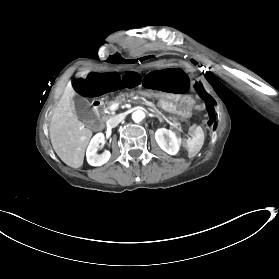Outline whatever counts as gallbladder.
I'll use <instances>...</instances> for the list:
<instances>
[{
  "label": "gallbladder",
  "instance_id": "gallbladder-1",
  "mask_svg": "<svg viewBox=\"0 0 279 279\" xmlns=\"http://www.w3.org/2000/svg\"><path fill=\"white\" fill-rule=\"evenodd\" d=\"M75 112L78 118L88 124L90 128L97 130L101 128L103 121L101 117L97 116L86 98L75 96L73 98Z\"/></svg>",
  "mask_w": 279,
  "mask_h": 279
}]
</instances>
